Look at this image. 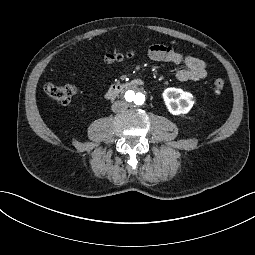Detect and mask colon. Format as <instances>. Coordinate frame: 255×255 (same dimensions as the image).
<instances>
[{
    "instance_id": "obj_1",
    "label": "colon",
    "mask_w": 255,
    "mask_h": 255,
    "mask_svg": "<svg viewBox=\"0 0 255 255\" xmlns=\"http://www.w3.org/2000/svg\"><path fill=\"white\" fill-rule=\"evenodd\" d=\"M130 55H131V52L113 53V54H108L105 60L108 62L121 61ZM224 86H225V83L222 79H216L214 80L212 84V88L215 93L222 92V90L224 89ZM44 90L51 99L61 104H69L76 93L75 87L69 84H65V85L47 84L45 85Z\"/></svg>"
}]
</instances>
